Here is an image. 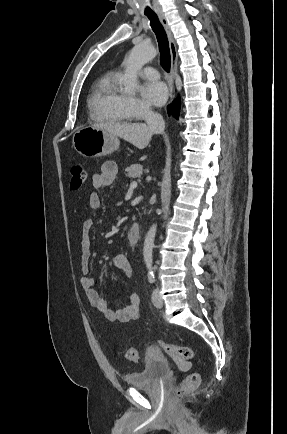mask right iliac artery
<instances>
[{
    "mask_svg": "<svg viewBox=\"0 0 287 434\" xmlns=\"http://www.w3.org/2000/svg\"><path fill=\"white\" fill-rule=\"evenodd\" d=\"M148 280L150 283H154L155 282V274L153 272H150L148 274Z\"/></svg>",
    "mask_w": 287,
    "mask_h": 434,
    "instance_id": "right-iliac-artery-1",
    "label": "right iliac artery"
}]
</instances>
